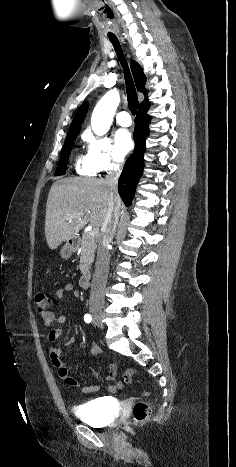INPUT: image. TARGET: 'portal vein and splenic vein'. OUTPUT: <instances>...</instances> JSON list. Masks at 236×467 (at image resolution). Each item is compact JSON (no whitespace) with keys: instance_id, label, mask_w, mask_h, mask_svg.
<instances>
[{"instance_id":"obj_1","label":"portal vein and splenic vein","mask_w":236,"mask_h":467,"mask_svg":"<svg viewBox=\"0 0 236 467\" xmlns=\"http://www.w3.org/2000/svg\"><path fill=\"white\" fill-rule=\"evenodd\" d=\"M72 218H73L72 215H68V216H67V219H68V220H71ZM98 233H99V228L94 227V228H91V229H90V231H89L88 234H89L91 237H95L96 235H98Z\"/></svg>"}]
</instances>
